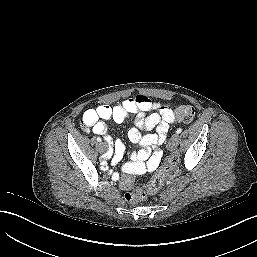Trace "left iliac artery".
I'll use <instances>...</instances> for the list:
<instances>
[{
    "mask_svg": "<svg viewBox=\"0 0 257 257\" xmlns=\"http://www.w3.org/2000/svg\"><path fill=\"white\" fill-rule=\"evenodd\" d=\"M181 132H182V128H178L176 131L177 134H180Z\"/></svg>",
    "mask_w": 257,
    "mask_h": 257,
    "instance_id": "left-iliac-artery-1",
    "label": "left iliac artery"
}]
</instances>
